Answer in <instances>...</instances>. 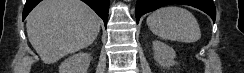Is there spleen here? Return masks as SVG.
<instances>
[{
    "label": "spleen",
    "mask_w": 244,
    "mask_h": 73,
    "mask_svg": "<svg viewBox=\"0 0 244 73\" xmlns=\"http://www.w3.org/2000/svg\"><path fill=\"white\" fill-rule=\"evenodd\" d=\"M153 34L164 40L194 43L201 38L199 24L194 15L178 6L162 7L147 17Z\"/></svg>",
    "instance_id": "spleen-1"
}]
</instances>
